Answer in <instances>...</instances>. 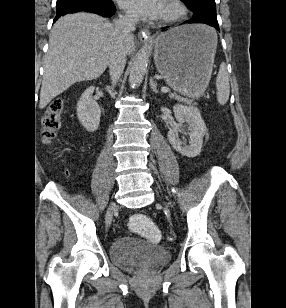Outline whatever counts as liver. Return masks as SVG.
Here are the masks:
<instances>
[{"instance_id": "obj_1", "label": "liver", "mask_w": 286, "mask_h": 308, "mask_svg": "<svg viewBox=\"0 0 286 308\" xmlns=\"http://www.w3.org/2000/svg\"><path fill=\"white\" fill-rule=\"evenodd\" d=\"M118 34L105 18L90 13L68 14L56 21L44 59L39 107L76 82L100 77L109 64ZM127 55L134 51L133 36L124 43Z\"/></svg>"}]
</instances>
